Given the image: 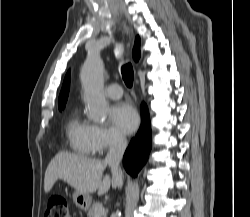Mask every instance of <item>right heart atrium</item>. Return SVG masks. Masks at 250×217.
<instances>
[{"mask_svg":"<svg viewBox=\"0 0 250 217\" xmlns=\"http://www.w3.org/2000/svg\"><path fill=\"white\" fill-rule=\"evenodd\" d=\"M126 140L122 133L112 127L92 125L91 147L93 154L102 155L108 150L120 148Z\"/></svg>","mask_w":250,"mask_h":217,"instance_id":"right-heart-atrium-1","label":"right heart atrium"}]
</instances>
